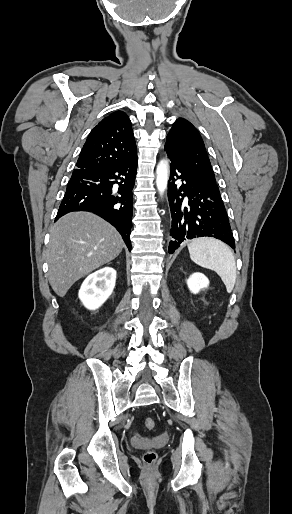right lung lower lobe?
I'll return each mask as SVG.
<instances>
[{"label": "right lung lower lobe", "mask_w": 292, "mask_h": 514, "mask_svg": "<svg viewBox=\"0 0 292 514\" xmlns=\"http://www.w3.org/2000/svg\"><path fill=\"white\" fill-rule=\"evenodd\" d=\"M136 172L137 155L108 168L74 170L55 221L73 211L92 212L112 224L131 250L129 236Z\"/></svg>", "instance_id": "98d812e1"}]
</instances>
